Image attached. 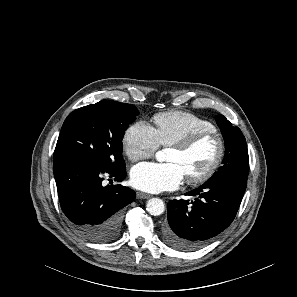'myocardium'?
Wrapping results in <instances>:
<instances>
[{
	"label": "myocardium",
	"mask_w": 297,
	"mask_h": 297,
	"mask_svg": "<svg viewBox=\"0 0 297 297\" xmlns=\"http://www.w3.org/2000/svg\"><path fill=\"white\" fill-rule=\"evenodd\" d=\"M208 137H214L217 140L219 146L218 154L212 162V164L204 172L197 174L195 176L187 177V184L196 185L204 183L218 171L226 155V142L224 140V137L220 132H218L215 129L202 130L197 131L182 139H179L169 145L170 148H176L181 151H188L191 148H193L196 144H198L200 141Z\"/></svg>",
	"instance_id": "obj_1"
}]
</instances>
